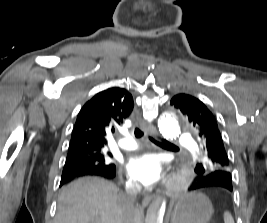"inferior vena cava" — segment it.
Returning a JSON list of instances; mask_svg holds the SVG:
<instances>
[{"label":"inferior vena cava","instance_id":"obj_1","mask_svg":"<svg viewBox=\"0 0 267 223\" xmlns=\"http://www.w3.org/2000/svg\"><path fill=\"white\" fill-rule=\"evenodd\" d=\"M141 190V186L138 183H131L126 186L124 196V212L123 223H134V210L136 204V198L138 192Z\"/></svg>","mask_w":267,"mask_h":223}]
</instances>
